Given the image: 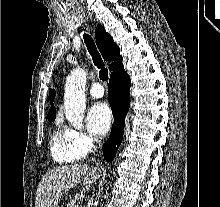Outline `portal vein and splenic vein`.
Segmentation results:
<instances>
[{
    "instance_id": "1",
    "label": "portal vein and splenic vein",
    "mask_w": 220,
    "mask_h": 207,
    "mask_svg": "<svg viewBox=\"0 0 220 207\" xmlns=\"http://www.w3.org/2000/svg\"><path fill=\"white\" fill-rule=\"evenodd\" d=\"M74 207H79V205H75Z\"/></svg>"
}]
</instances>
